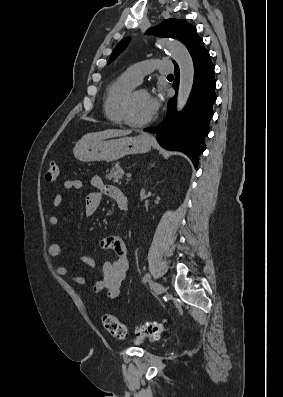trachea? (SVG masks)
<instances>
[{"label":"trachea","mask_w":283,"mask_h":397,"mask_svg":"<svg viewBox=\"0 0 283 397\" xmlns=\"http://www.w3.org/2000/svg\"><path fill=\"white\" fill-rule=\"evenodd\" d=\"M168 77H173V75H172V74H170V75H168Z\"/></svg>","instance_id":"trachea-1"}]
</instances>
